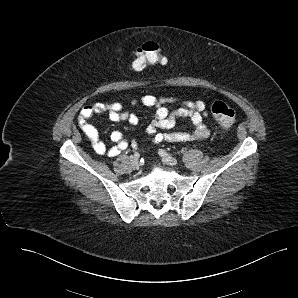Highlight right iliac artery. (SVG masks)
Returning <instances> with one entry per match:
<instances>
[{"instance_id": "82829eb1", "label": "right iliac artery", "mask_w": 298, "mask_h": 298, "mask_svg": "<svg viewBox=\"0 0 298 298\" xmlns=\"http://www.w3.org/2000/svg\"><path fill=\"white\" fill-rule=\"evenodd\" d=\"M134 156L139 157V153L135 152Z\"/></svg>"}]
</instances>
